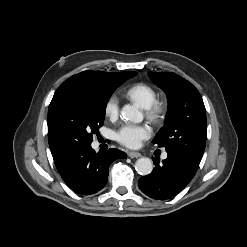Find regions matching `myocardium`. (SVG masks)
<instances>
[{"label":"myocardium","mask_w":247,"mask_h":247,"mask_svg":"<svg viewBox=\"0 0 247 247\" xmlns=\"http://www.w3.org/2000/svg\"><path fill=\"white\" fill-rule=\"evenodd\" d=\"M167 108L165 100L156 99L149 107L145 108L146 117L152 123L159 124L164 119Z\"/></svg>","instance_id":"1"}]
</instances>
